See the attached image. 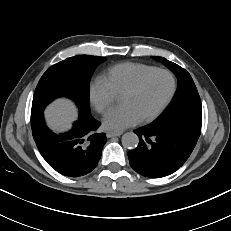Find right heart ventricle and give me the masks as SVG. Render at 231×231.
Masks as SVG:
<instances>
[{
	"label": "right heart ventricle",
	"instance_id": "e07e8e85",
	"mask_svg": "<svg viewBox=\"0 0 231 231\" xmlns=\"http://www.w3.org/2000/svg\"><path fill=\"white\" fill-rule=\"evenodd\" d=\"M156 69L154 66L126 62L117 64L108 69L103 77L114 94L121 96L134 82L144 74Z\"/></svg>",
	"mask_w": 231,
	"mask_h": 231
}]
</instances>
